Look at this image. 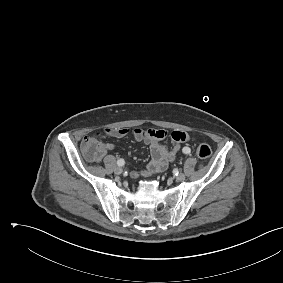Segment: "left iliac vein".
Wrapping results in <instances>:
<instances>
[{
  "label": "left iliac vein",
  "instance_id": "left-iliac-vein-1",
  "mask_svg": "<svg viewBox=\"0 0 283 283\" xmlns=\"http://www.w3.org/2000/svg\"><path fill=\"white\" fill-rule=\"evenodd\" d=\"M186 178L185 174L183 173H179L177 176H176V180L177 181H184Z\"/></svg>",
  "mask_w": 283,
  "mask_h": 283
}]
</instances>
